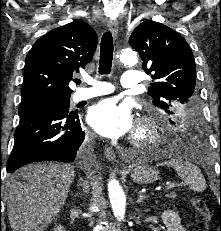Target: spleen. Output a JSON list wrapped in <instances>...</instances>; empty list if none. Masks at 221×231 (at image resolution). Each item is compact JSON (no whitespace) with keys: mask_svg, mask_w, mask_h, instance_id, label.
<instances>
[{"mask_svg":"<svg viewBox=\"0 0 221 231\" xmlns=\"http://www.w3.org/2000/svg\"><path fill=\"white\" fill-rule=\"evenodd\" d=\"M165 165L175 169L178 176L189 185L190 189L196 192H203L206 189V181L200 169L192 162L173 158L157 164V166Z\"/></svg>","mask_w":221,"mask_h":231,"instance_id":"obj_1","label":"spleen"}]
</instances>
